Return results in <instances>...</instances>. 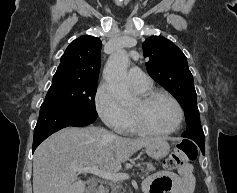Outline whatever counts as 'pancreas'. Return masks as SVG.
Listing matches in <instances>:
<instances>
[{
	"label": "pancreas",
	"instance_id": "obj_1",
	"mask_svg": "<svg viewBox=\"0 0 237 193\" xmlns=\"http://www.w3.org/2000/svg\"><path fill=\"white\" fill-rule=\"evenodd\" d=\"M145 166H140L141 171L145 174L148 175L150 172L155 171V167L151 162H147L144 164ZM112 192L111 193H123L121 190L123 189L122 183H114L112 186Z\"/></svg>",
	"mask_w": 237,
	"mask_h": 193
}]
</instances>
